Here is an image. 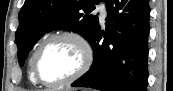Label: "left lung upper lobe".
I'll use <instances>...</instances> for the list:
<instances>
[{
  "label": "left lung upper lobe",
  "instance_id": "obj_1",
  "mask_svg": "<svg viewBox=\"0 0 173 91\" xmlns=\"http://www.w3.org/2000/svg\"><path fill=\"white\" fill-rule=\"evenodd\" d=\"M99 1L25 0L16 32L19 64L23 65L35 42L52 29L72 30L90 41L99 26L98 16L90 12Z\"/></svg>",
  "mask_w": 173,
  "mask_h": 91
}]
</instances>
